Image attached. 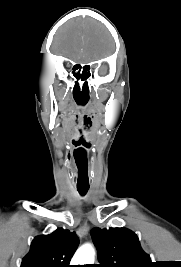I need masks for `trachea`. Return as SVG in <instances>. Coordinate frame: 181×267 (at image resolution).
I'll use <instances>...</instances> for the list:
<instances>
[{
	"label": "trachea",
	"mask_w": 181,
	"mask_h": 267,
	"mask_svg": "<svg viewBox=\"0 0 181 267\" xmlns=\"http://www.w3.org/2000/svg\"><path fill=\"white\" fill-rule=\"evenodd\" d=\"M77 190L81 195H85L89 190V186H77Z\"/></svg>",
	"instance_id": "obj_1"
}]
</instances>
